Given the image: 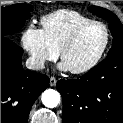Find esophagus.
I'll return each mask as SVG.
<instances>
[{
    "label": "esophagus",
    "instance_id": "obj_1",
    "mask_svg": "<svg viewBox=\"0 0 123 123\" xmlns=\"http://www.w3.org/2000/svg\"><path fill=\"white\" fill-rule=\"evenodd\" d=\"M56 84H57V80H56V78L55 77H50V86H56Z\"/></svg>",
    "mask_w": 123,
    "mask_h": 123
}]
</instances>
